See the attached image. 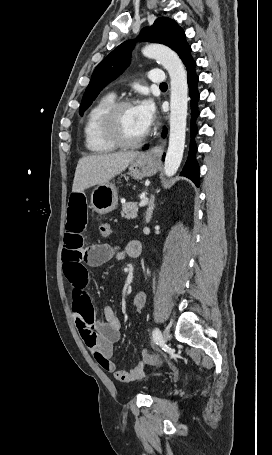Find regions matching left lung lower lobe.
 I'll use <instances>...</instances> for the list:
<instances>
[{
    "label": "left lung lower lobe",
    "instance_id": "left-lung-lower-lobe-1",
    "mask_svg": "<svg viewBox=\"0 0 272 455\" xmlns=\"http://www.w3.org/2000/svg\"><path fill=\"white\" fill-rule=\"evenodd\" d=\"M187 70L188 76V85L190 87V97H191V108H192V129L191 135L194 136L197 132L194 126V120L198 115V111L196 110V103L199 99V94L197 92V82L198 76L195 74V66L196 63L193 59L189 58L187 61L184 62ZM166 135V128L163 131V137ZM144 150L148 149V146L143 148ZM195 152H196V145L194 143L191 144L188 160L181 172V175L190 178L196 186H199V167L198 164L195 162ZM164 158V156H163Z\"/></svg>",
    "mask_w": 272,
    "mask_h": 455
}]
</instances>
